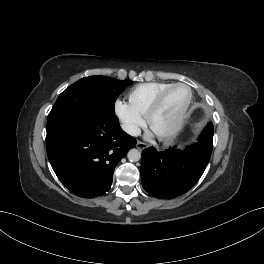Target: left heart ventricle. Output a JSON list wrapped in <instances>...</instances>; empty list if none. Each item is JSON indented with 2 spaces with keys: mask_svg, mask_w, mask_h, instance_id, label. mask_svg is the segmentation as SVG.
I'll use <instances>...</instances> for the list:
<instances>
[{
  "mask_svg": "<svg viewBox=\"0 0 264 264\" xmlns=\"http://www.w3.org/2000/svg\"><path fill=\"white\" fill-rule=\"evenodd\" d=\"M188 98V90L176 87L168 92L163 103L152 119V129L162 132L168 129L178 117Z\"/></svg>",
  "mask_w": 264,
  "mask_h": 264,
  "instance_id": "b2bd125f",
  "label": "left heart ventricle"
}]
</instances>
